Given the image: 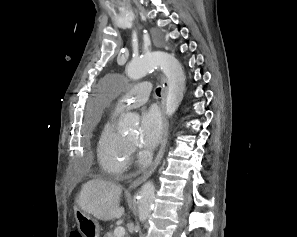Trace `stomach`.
Instances as JSON below:
<instances>
[{"instance_id": "obj_1", "label": "stomach", "mask_w": 297, "mask_h": 237, "mask_svg": "<svg viewBox=\"0 0 297 237\" xmlns=\"http://www.w3.org/2000/svg\"><path fill=\"white\" fill-rule=\"evenodd\" d=\"M78 230L83 237H99L100 226L89 214L82 210L75 212Z\"/></svg>"}]
</instances>
